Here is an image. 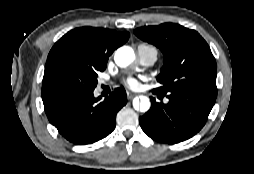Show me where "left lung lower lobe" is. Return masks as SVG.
<instances>
[{
  "label": "left lung lower lobe",
  "mask_w": 254,
  "mask_h": 174,
  "mask_svg": "<svg viewBox=\"0 0 254 174\" xmlns=\"http://www.w3.org/2000/svg\"><path fill=\"white\" fill-rule=\"evenodd\" d=\"M153 93L161 96L154 90ZM167 98V104L152 98L150 110L139 118V123L149 137L169 144L187 140L199 132L216 100L192 90L173 91Z\"/></svg>",
  "instance_id": "0a47b994"
}]
</instances>
